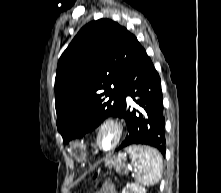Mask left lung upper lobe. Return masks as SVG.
<instances>
[{"instance_id": "obj_1", "label": "left lung upper lobe", "mask_w": 221, "mask_h": 193, "mask_svg": "<svg viewBox=\"0 0 221 193\" xmlns=\"http://www.w3.org/2000/svg\"><path fill=\"white\" fill-rule=\"evenodd\" d=\"M140 43L109 19L85 25L59 59L55 79L57 128L68 143L93 130L108 116L122 117L121 85ZM159 119L154 107L147 125Z\"/></svg>"}]
</instances>
